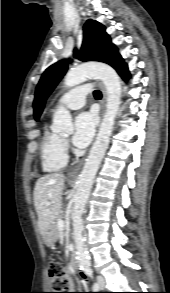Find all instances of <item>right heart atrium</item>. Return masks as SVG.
Wrapping results in <instances>:
<instances>
[{"instance_id":"right-heart-atrium-1","label":"right heart atrium","mask_w":170,"mask_h":293,"mask_svg":"<svg viewBox=\"0 0 170 293\" xmlns=\"http://www.w3.org/2000/svg\"><path fill=\"white\" fill-rule=\"evenodd\" d=\"M62 145H63V148L66 149L67 148V143L65 141H62Z\"/></svg>"}]
</instances>
